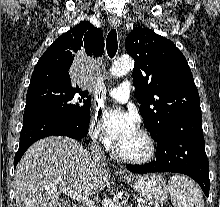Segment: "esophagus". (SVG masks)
<instances>
[{
  "label": "esophagus",
  "mask_w": 220,
  "mask_h": 207,
  "mask_svg": "<svg viewBox=\"0 0 220 207\" xmlns=\"http://www.w3.org/2000/svg\"><path fill=\"white\" fill-rule=\"evenodd\" d=\"M110 24L112 27H118L120 24V19L116 15H111L109 18ZM120 174H126V171L124 169H120Z\"/></svg>",
  "instance_id": "obj_1"
}]
</instances>
